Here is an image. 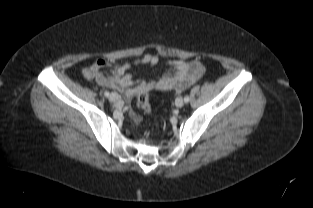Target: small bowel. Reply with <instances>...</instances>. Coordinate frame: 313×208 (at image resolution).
<instances>
[{"label": "small bowel", "instance_id": "c3829d8e", "mask_svg": "<svg viewBox=\"0 0 313 208\" xmlns=\"http://www.w3.org/2000/svg\"><path fill=\"white\" fill-rule=\"evenodd\" d=\"M158 62V56L152 54H145L133 62L119 65H115L109 60L98 59L83 70V76L86 80H95L98 85L114 89L122 93L127 99H131L140 92L153 88L184 90L199 80L205 72L203 64L199 61L173 60L168 63L171 72L154 81L135 80L133 75L128 73L132 66H155ZM105 69H109V73H105ZM134 118L139 120L137 116H134Z\"/></svg>", "mask_w": 313, "mask_h": 208}]
</instances>
